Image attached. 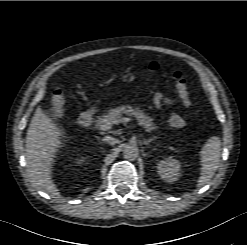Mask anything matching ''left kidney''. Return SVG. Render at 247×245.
Returning a JSON list of instances; mask_svg holds the SVG:
<instances>
[{
    "instance_id": "1",
    "label": "left kidney",
    "mask_w": 247,
    "mask_h": 245,
    "mask_svg": "<svg viewBox=\"0 0 247 245\" xmlns=\"http://www.w3.org/2000/svg\"><path fill=\"white\" fill-rule=\"evenodd\" d=\"M180 162L172 157L161 160L157 166L159 176L168 183L178 180L181 170Z\"/></svg>"
}]
</instances>
